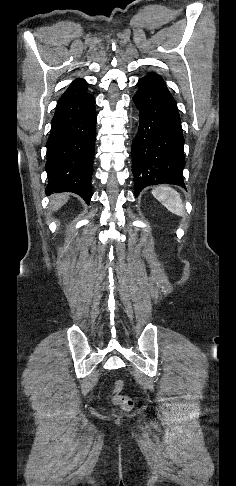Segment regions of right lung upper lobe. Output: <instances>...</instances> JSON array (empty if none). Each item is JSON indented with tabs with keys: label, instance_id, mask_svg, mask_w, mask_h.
<instances>
[{
	"label": "right lung upper lobe",
	"instance_id": "right-lung-upper-lobe-1",
	"mask_svg": "<svg viewBox=\"0 0 236 486\" xmlns=\"http://www.w3.org/2000/svg\"><path fill=\"white\" fill-rule=\"evenodd\" d=\"M87 83L84 79H76L64 92L58 102L69 101L85 96L88 92Z\"/></svg>",
	"mask_w": 236,
	"mask_h": 486
}]
</instances>
